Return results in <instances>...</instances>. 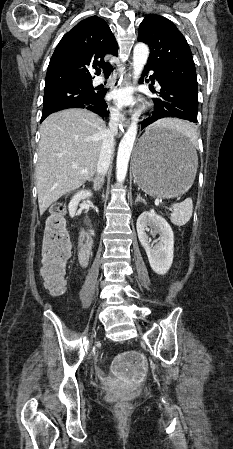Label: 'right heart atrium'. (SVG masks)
I'll return each instance as SVG.
<instances>
[{
	"label": "right heart atrium",
	"mask_w": 233,
	"mask_h": 449,
	"mask_svg": "<svg viewBox=\"0 0 233 449\" xmlns=\"http://www.w3.org/2000/svg\"><path fill=\"white\" fill-rule=\"evenodd\" d=\"M113 116L116 117L117 113L115 111L112 112Z\"/></svg>",
	"instance_id": "obj_1"
}]
</instances>
